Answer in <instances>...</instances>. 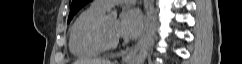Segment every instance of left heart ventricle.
<instances>
[{
  "mask_svg": "<svg viewBox=\"0 0 242 64\" xmlns=\"http://www.w3.org/2000/svg\"><path fill=\"white\" fill-rule=\"evenodd\" d=\"M117 21L110 18V17H105L104 20V30L105 34L108 38H112L115 35V29H116Z\"/></svg>",
  "mask_w": 242,
  "mask_h": 64,
  "instance_id": "left-heart-ventricle-1",
  "label": "left heart ventricle"
}]
</instances>
